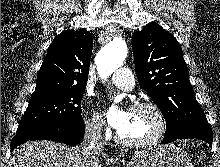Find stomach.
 <instances>
[{
  "mask_svg": "<svg viewBox=\"0 0 220 167\" xmlns=\"http://www.w3.org/2000/svg\"><path fill=\"white\" fill-rule=\"evenodd\" d=\"M127 167H193L191 158L174 145L157 146L136 152Z\"/></svg>",
  "mask_w": 220,
  "mask_h": 167,
  "instance_id": "stomach-1",
  "label": "stomach"
}]
</instances>
